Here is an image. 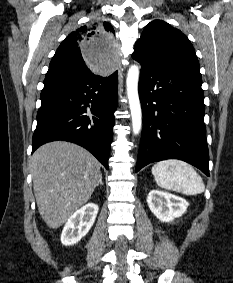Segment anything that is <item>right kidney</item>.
<instances>
[{
	"label": "right kidney",
	"instance_id": "right-kidney-1",
	"mask_svg": "<svg viewBox=\"0 0 233 283\" xmlns=\"http://www.w3.org/2000/svg\"><path fill=\"white\" fill-rule=\"evenodd\" d=\"M98 206L88 203L77 210L65 224L61 242L63 245L70 246L76 244L83 238L93 226L98 213Z\"/></svg>",
	"mask_w": 233,
	"mask_h": 283
}]
</instances>
